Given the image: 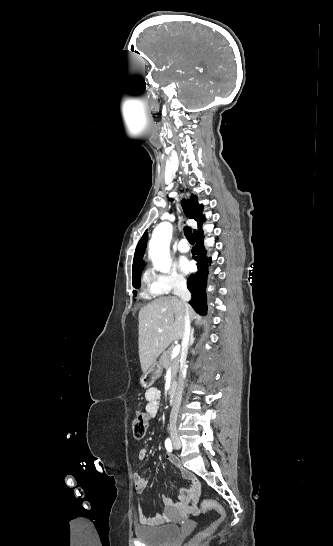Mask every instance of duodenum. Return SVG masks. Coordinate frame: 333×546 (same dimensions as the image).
<instances>
[{
    "label": "duodenum",
    "instance_id": "410a0bca",
    "mask_svg": "<svg viewBox=\"0 0 333 546\" xmlns=\"http://www.w3.org/2000/svg\"><path fill=\"white\" fill-rule=\"evenodd\" d=\"M169 399L171 404H175L177 400V386L175 384H172L169 390Z\"/></svg>",
    "mask_w": 333,
    "mask_h": 546
}]
</instances>
